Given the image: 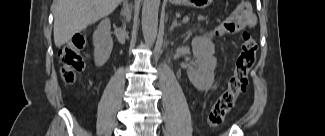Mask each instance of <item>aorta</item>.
<instances>
[{
    "instance_id": "762f6f07",
    "label": "aorta",
    "mask_w": 325,
    "mask_h": 136,
    "mask_svg": "<svg viewBox=\"0 0 325 136\" xmlns=\"http://www.w3.org/2000/svg\"><path fill=\"white\" fill-rule=\"evenodd\" d=\"M160 0H144L142 6V33L146 44L152 45L158 32Z\"/></svg>"
}]
</instances>
